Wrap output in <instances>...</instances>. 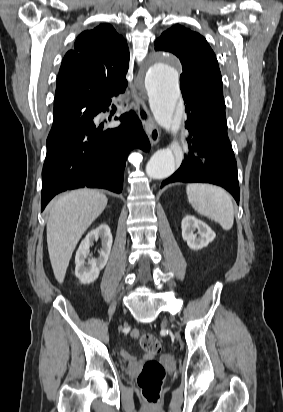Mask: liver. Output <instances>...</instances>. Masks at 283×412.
<instances>
[{"mask_svg": "<svg viewBox=\"0 0 283 412\" xmlns=\"http://www.w3.org/2000/svg\"><path fill=\"white\" fill-rule=\"evenodd\" d=\"M107 206V197L93 189L66 193L48 206L47 245L56 280L62 283L72 253L86 231Z\"/></svg>", "mask_w": 283, "mask_h": 412, "instance_id": "liver-1", "label": "liver"}]
</instances>
